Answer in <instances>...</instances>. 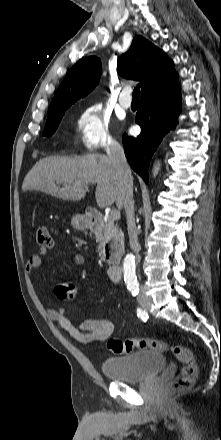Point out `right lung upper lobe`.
Returning a JSON list of instances; mask_svg holds the SVG:
<instances>
[{"mask_svg": "<svg viewBox=\"0 0 221 440\" xmlns=\"http://www.w3.org/2000/svg\"><path fill=\"white\" fill-rule=\"evenodd\" d=\"M117 71L124 78L140 81L141 97L159 91L177 79L172 60L140 35L134 37L129 50L119 57ZM100 75L99 58L81 59L68 72L49 109L71 106L98 84Z\"/></svg>", "mask_w": 221, "mask_h": 440, "instance_id": "1", "label": "right lung upper lobe"}]
</instances>
